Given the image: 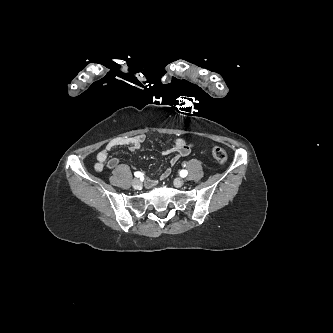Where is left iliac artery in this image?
I'll return each instance as SVG.
<instances>
[{"label":"left iliac artery","instance_id":"1","mask_svg":"<svg viewBox=\"0 0 333 333\" xmlns=\"http://www.w3.org/2000/svg\"><path fill=\"white\" fill-rule=\"evenodd\" d=\"M187 174H188L187 170H181V171H180V176H181V177H186Z\"/></svg>","mask_w":333,"mask_h":333}]
</instances>
